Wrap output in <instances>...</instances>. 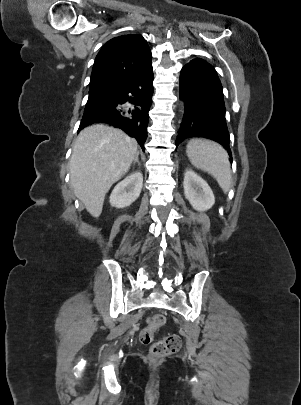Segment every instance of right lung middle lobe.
Wrapping results in <instances>:
<instances>
[{
  "mask_svg": "<svg viewBox=\"0 0 301 405\" xmlns=\"http://www.w3.org/2000/svg\"><path fill=\"white\" fill-rule=\"evenodd\" d=\"M115 92L111 91H95L89 92V98L86 104L85 109L91 108L103 102H106L108 99L112 98Z\"/></svg>",
  "mask_w": 301,
  "mask_h": 405,
  "instance_id": "obj_1",
  "label": "right lung middle lobe"
}]
</instances>
